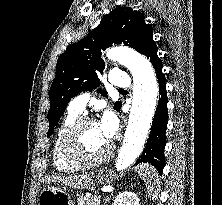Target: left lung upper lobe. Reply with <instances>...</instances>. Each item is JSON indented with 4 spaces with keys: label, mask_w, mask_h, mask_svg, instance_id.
Segmentation results:
<instances>
[{
    "label": "left lung upper lobe",
    "mask_w": 222,
    "mask_h": 205,
    "mask_svg": "<svg viewBox=\"0 0 222 205\" xmlns=\"http://www.w3.org/2000/svg\"><path fill=\"white\" fill-rule=\"evenodd\" d=\"M143 13L129 7H119L104 16L100 24L83 40L72 44L60 55L56 76L49 91L50 110L48 120L53 127L58 123L70 99L81 91L97 88L100 85L98 73H102L104 62L101 50L112 44L124 43L141 52L148 37L153 35L151 26L145 23ZM103 96L105 91L98 90ZM121 102L114 104L119 111Z\"/></svg>",
    "instance_id": "1"
}]
</instances>
